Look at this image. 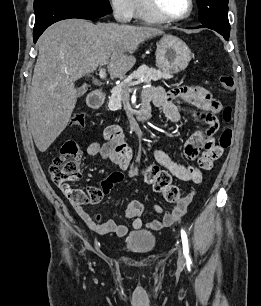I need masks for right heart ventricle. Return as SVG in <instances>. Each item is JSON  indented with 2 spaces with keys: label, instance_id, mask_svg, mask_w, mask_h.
<instances>
[{
  "label": "right heart ventricle",
  "instance_id": "obj_1",
  "mask_svg": "<svg viewBox=\"0 0 261 306\" xmlns=\"http://www.w3.org/2000/svg\"><path fill=\"white\" fill-rule=\"evenodd\" d=\"M134 16L140 20L146 22H159L155 18L151 17L142 7L141 0L134 1Z\"/></svg>",
  "mask_w": 261,
  "mask_h": 306
}]
</instances>
